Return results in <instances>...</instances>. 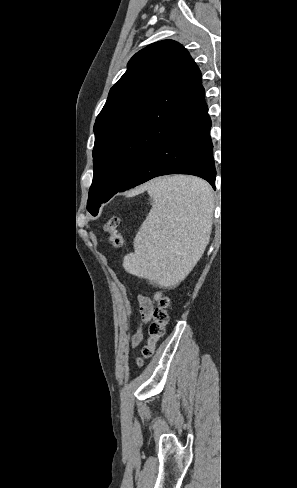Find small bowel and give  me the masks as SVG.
I'll return each instance as SVG.
<instances>
[{
    "label": "small bowel",
    "instance_id": "small-bowel-1",
    "mask_svg": "<svg viewBox=\"0 0 297 488\" xmlns=\"http://www.w3.org/2000/svg\"><path fill=\"white\" fill-rule=\"evenodd\" d=\"M162 297V292L158 291L154 294L152 298L149 297H139V315L142 321L146 322L149 321L152 315V311L154 308V305L157 301H159ZM140 339V334H136L133 342L137 343Z\"/></svg>",
    "mask_w": 297,
    "mask_h": 488
}]
</instances>
